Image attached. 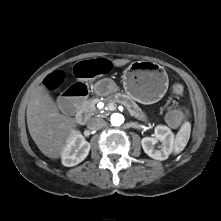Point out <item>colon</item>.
I'll return each mask as SVG.
<instances>
[{"mask_svg":"<svg viewBox=\"0 0 221 221\" xmlns=\"http://www.w3.org/2000/svg\"><path fill=\"white\" fill-rule=\"evenodd\" d=\"M110 69V63L107 60L86 61L77 67V72L83 77H92L100 73L107 72ZM63 76L60 73H53L45 80V85L48 89H56L62 82ZM172 92L175 95H182L184 92L183 85L175 83L172 86ZM86 91L83 86L74 84L69 87L67 92H64L58 100L59 108L68 115L76 114L79 108L82 107ZM192 117L191 107L188 104H183L179 109L171 110L167 115V121L171 126L177 127L184 120H189Z\"/></svg>","mask_w":221,"mask_h":221,"instance_id":"5ec220e1","label":"colon"}]
</instances>
